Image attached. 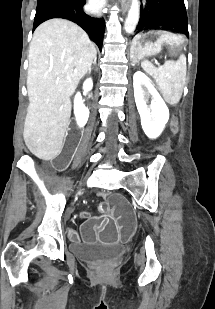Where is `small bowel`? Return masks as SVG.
Segmentation results:
<instances>
[{"instance_id":"1","label":"small bowel","mask_w":215,"mask_h":309,"mask_svg":"<svg viewBox=\"0 0 215 309\" xmlns=\"http://www.w3.org/2000/svg\"><path fill=\"white\" fill-rule=\"evenodd\" d=\"M77 237L76 236H73V239H76Z\"/></svg>"}]
</instances>
